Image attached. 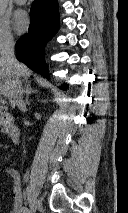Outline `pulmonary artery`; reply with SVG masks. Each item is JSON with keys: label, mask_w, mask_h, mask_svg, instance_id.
<instances>
[{"label": "pulmonary artery", "mask_w": 128, "mask_h": 213, "mask_svg": "<svg viewBox=\"0 0 128 213\" xmlns=\"http://www.w3.org/2000/svg\"><path fill=\"white\" fill-rule=\"evenodd\" d=\"M15 3L19 4V5H23L26 3L27 0H14Z\"/></svg>", "instance_id": "pulmonary-artery-1"}]
</instances>
